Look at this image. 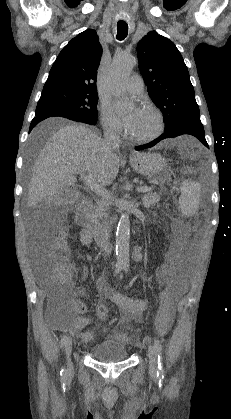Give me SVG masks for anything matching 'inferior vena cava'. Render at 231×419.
Returning <instances> with one entry per match:
<instances>
[{
    "mask_svg": "<svg viewBox=\"0 0 231 419\" xmlns=\"http://www.w3.org/2000/svg\"><path fill=\"white\" fill-rule=\"evenodd\" d=\"M104 143L107 150L116 152L119 150L120 136L119 132L112 126H106L104 129ZM109 231L107 224H104L100 230L98 244L103 249L105 255L109 256L112 248L109 240Z\"/></svg>",
    "mask_w": 231,
    "mask_h": 419,
    "instance_id": "inferior-vena-cava-1",
    "label": "inferior vena cava"
}]
</instances>
